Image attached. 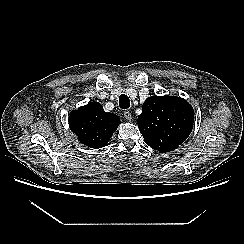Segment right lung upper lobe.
I'll list each match as a JSON object with an SVG mask.
<instances>
[{
	"mask_svg": "<svg viewBox=\"0 0 244 244\" xmlns=\"http://www.w3.org/2000/svg\"><path fill=\"white\" fill-rule=\"evenodd\" d=\"M119 124L120 119L115 114L105 112L98 102L72 111L69 117L71 130L82 144L90 148L105 146Z\"/></svg>",
	"mask_w": 244,
	"mask_h": 244,
	"instance_id": "cb5924a9",
	"label": "right lung upper lobe"
}]
</instances>
